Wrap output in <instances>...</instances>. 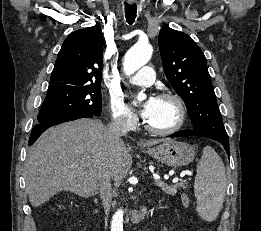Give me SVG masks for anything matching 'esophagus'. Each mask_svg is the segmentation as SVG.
<instances>
[{"label":"esophagus","instance_id":"esophagus-1","mask_svg":"<svg viewBox=\"0 0 261 231\" xmlns=\"http://www.w3.org/2000/svg\"><path fill=\"white\" fill-rule=\"evenodd\" d=\"M134 2V0H130V3H133Z\"/></svg>","mask_w":261,"mask_h":231}]
</instances>
